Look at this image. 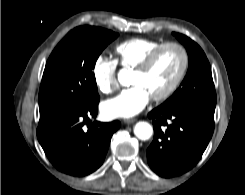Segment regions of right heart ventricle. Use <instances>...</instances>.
<instances>
[{"label":"right heart ventricle","instance_id":"obj_1","mask_svg":"<svg viewBox=\"0 0 245 195\" xmlns=\"http://www.w3.org/2000/svg\"><path fill=\"white\" fill-rule=\"evenodd\" d=\"M162 43L146 38H133L115 47V62L123 68L134 69L153 49Z\"/></svg>","mask_w":245,"mask_h":195}]
</instances>
